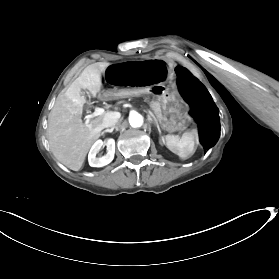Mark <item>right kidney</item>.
Masks as SVG:
<instances>
[{"mask_svg":"<svg viewBox=\"0 0 279 279\" xmlns=\"http://www.w3.org/2000/svg\"><path fill=\"white\" fill-rule=\"evenodd\" d=\"M105 145L107 147V154L102 157H96L101 147ZM115 154V141L114 139H107L106 141L97 140L90 149L88 155V162L91 167H103L109 164Z\"/></svg>","mask_w":279,"mask_h":279,"instance_id":"1","label":"right kidney"}]
</instances>
